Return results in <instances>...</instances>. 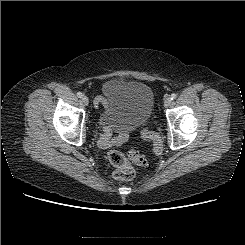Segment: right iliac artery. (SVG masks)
Here are the masks:
<instances>
[{
	"label": "right iliac artery",
	"instance_id": "1",
	"mask_svg": "<svg viewBox=\"0 0 245 245\" xmlns=\"http://www.w3.org/2000/svg\"><path fill=\"white\" fill-rule=\"evenodd\" d=\"M77 96H78L79 98H82L83 94H82L81 92H78V93H77Z\"/></svg>",
	"mask_w": 245,
	"mask_h": 245
}]
</instances>
